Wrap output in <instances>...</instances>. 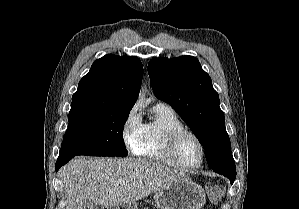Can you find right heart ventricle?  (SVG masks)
Returning <instances> with one entry per match:
<instances>
[{"mask_svg": "<svg viewBox=\"0 0 299 209\" xmlns=\"http://www.w3.org/2000/svg\"><path fill=\"white\" fill-rule=\"evenodd\" d=\"M153 114L151 121L141 124L140 137L134 153L150 160L172 165L166 155V139L170 132L183 129L184 126L171 109L155 105Z\"/></svg>", "mask_w": 299, "mask_h": 209, "instance_id": "1", "label": "right heart ventricle"}]
</instances>
